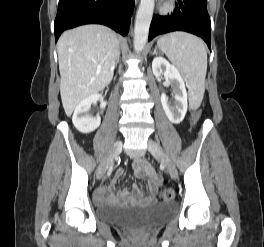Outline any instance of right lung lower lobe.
I'll use <instances>...</instances> for the list:
<instances>
[{"label":"right lung lower lobe","mask_w":264,"mask_h":247,"mask_svg":"<svg viewBox=\"0 0 264 247\" xmlns=\"http://www.w3.org/2000/svg\"><path fill=\"white\" fill-rule=\"evenodd\" d=\"M133 5L134 0H59L55 40L63 31L84 24H103L125 36Z\"/></svg>","instance_id":"obj_1"}]
</instances>
